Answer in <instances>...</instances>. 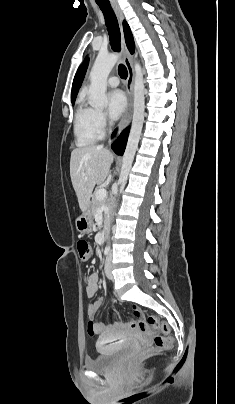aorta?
I'll return each instance as SVG.
<instances>
[{
    "mask_svg": "<svg viewBox=\"0 0 235 404\" xmlns=\"http://www.w3.org/2000/svg\"><path fill=\"white\" fill-rule=\"evenodd\" d=\"M119 60L117 53L103 54L99 53L90 72L89 103L92 107L103 108L107 104V78L115 64ZM134 110L132 126L123 155L122 168L120 173V193L123 191L128 175L133 163V159L138 147L142 126L144 122V80L141 66L134 65Z\"/></svg>",
    "mask_w": 235,
    "mask_h": 404,
    "instance_id": "1",
    "label": "aorta"
}]
</instances>
